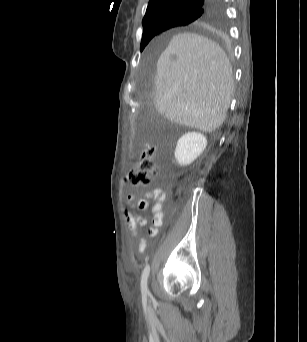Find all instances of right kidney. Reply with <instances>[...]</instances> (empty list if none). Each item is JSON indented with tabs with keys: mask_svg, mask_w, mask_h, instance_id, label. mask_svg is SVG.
Segmentation results:
<instances>
[{
	"mask_svg": "<svg viewBox=\"0 0 307 342\" xmlns=\"http://www.w3.org/2000/svg\"><path fill=\"white\" fill-rule=\"evenodd\" d=\"M207 146V138L199 132H188L181 136L175 148V158L179 166H190Z\"/></svg>",
	"mask_w": 307,
	"mask_h": 342,
	"instance_id": "1",
	"label": "right kidney"
}]
</instances>
